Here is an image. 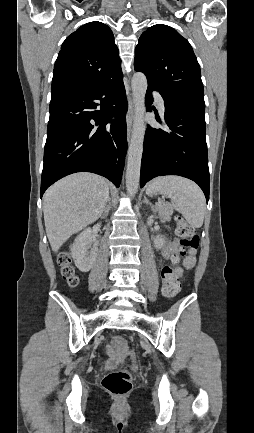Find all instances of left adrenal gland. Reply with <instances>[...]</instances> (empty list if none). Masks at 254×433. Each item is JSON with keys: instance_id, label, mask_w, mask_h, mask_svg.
Instances as JSON below:
<instances>
[{"instance_id": "a2214340", "label": "left adrenal gland", "mask_w": 254, "mask_h": 433, "mask_svg": "<svg viewBox=\"0 0 254 433\" xmlns=\"http://www.w3.org/2000/svg\"><path fill=\"white\" fill-rule=\"evenodd\" d=\"M143 202L146 203V204H149V205L151 206L152 211L155 212V207H154V205H153V204H152V203L147 199L146 196H144V200H143Z\"/></svg>"}]
</instances>
